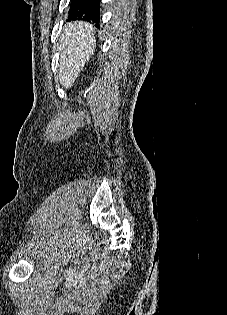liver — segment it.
<instances>
[{
    "label": "liver",
    "mask_w": 227,
    "mask_h": 315,
    "mask_svg": "<svg viewBox=\"0 0 227 315\" xmlns=\"http://www.w3.org/2000/svg\"><path fill=\"white\" fill-rule=\"evenodd\" d=\"M60 43L58 78L69 89L95 51L94 28L87 22H71L65 27Z\"/></svg>",
    "instance_id": "6515ba94"
}]
</instances>
